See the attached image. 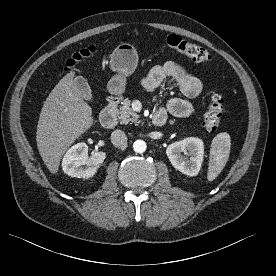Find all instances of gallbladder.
<instances>
[{
	"instance_id": "obj_1",
	"label": "gallbladder",
	"mask_w": 276,
	"mask_h": 276,
	"mask_svg": "<svg viewBox=\"0 0 276 276\" xmlns=\"http://www.w3.org/2000/svg\"><path fill=\"white\" fill-rule=\"evenodd\" d=\"M74 83H75L76 87L78 88L79 93L83 99H85L87 101L93 100L92 90L85 78H83L82 76H77L74 79Z\"/></svg>"
}]
</instances>
